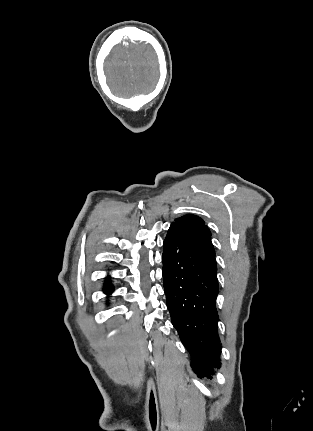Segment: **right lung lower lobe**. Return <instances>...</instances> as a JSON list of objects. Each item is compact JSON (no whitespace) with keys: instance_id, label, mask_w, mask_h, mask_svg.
I'll use <instances>...</instances> for the list:
<instances>
[{"instance_id":"obj_1","label":"right lung lower lobe","mask_w":313,"mask_h":431,"mask_svg":"<svg viewBox=\"0 0 313 431\" xmlns=\"http://www.w3.org/2000/svg\"><path fill=\"white\" fill-rule=\"evenodd\" d=\"M113 290L114 289H113V286H112V284L110 282V277H107V279H106V281L104 283V289H103V291H104L105 294L110 295L113 292Z\"/></svg>"}]
</instances>
